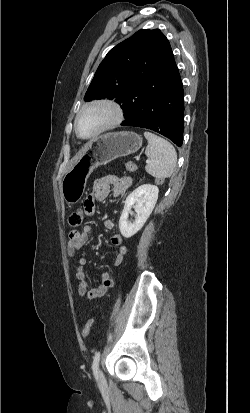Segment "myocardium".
I'll list each match as a JSON object with an SVG mask.
<instances>
[{
  "mask_svg": "<svg viewBox=\"0 0 250 413\" xmlns=\"http://www.w3.org/2000/svg\"><path fill=\"white\" fill-rule=\"evenodd\" d=\"M92 107H106L112 112V117L103 126H101L96 132L91 135L83 136L78 129V121L82 113ZM124 120V110L122 106L114 99L111 98H98L85 103L77 112L74 120V130L78 138L82 140H89L100 136L101 134L113 130L118 127Z\"/></svg>",
  "mask_w": 250,
  "mask_h": 413,
  "instance_id": "f54148a6",
  "label": "myocardium"
}]
</instances>
